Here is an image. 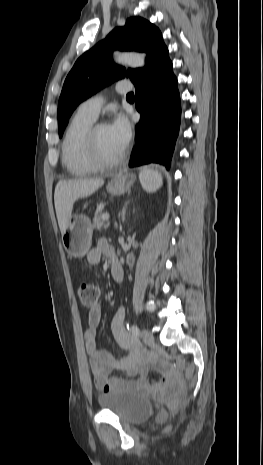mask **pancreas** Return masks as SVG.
Returning <instances> with one entry per match:
<instances>
[{"label": "pancreas", "instance_id": "pancreas-1", "mask_svg": "<svg viewBox=\"0 0 263 465\" xmlns=\"http://www.w3.org/2000/svg\"><path fill=\"white\" fill-rule=\"evenodd\" d=\"M109 223L104 221L103 214L100 209L96 210L94 218H93V228L101 230L102 228L107 229Z\"/></svg>", "mask_w": 263, "mask_h": 465}]
</instances>
